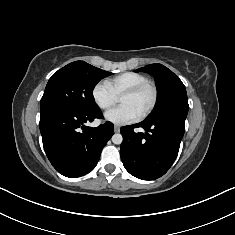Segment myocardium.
<instances>
[{
	"label": "myocardium",
	"mask_w": 235,
	"mask_h": 235,
	"mask_svg": "<svg viewBox=\"0 0 235 235\" xmlns=\"http://www.w3.org/2000/svg\"><path fill=\"white\" fill-rule=\"evenodd\" d=\"M145 89H149L151 91V101L149 103V105L147 106V108L140 114V119H144L146 118L155 108L157 101H158V89L157 86L151 82V81H145L142 82L138 85H135L127 90H125L122 93V96L124 95H129V96H133V95H137L139 93H141L143 90Z\"/></svg>",
	"instance_id": "obj_1"
}]
</instances>
